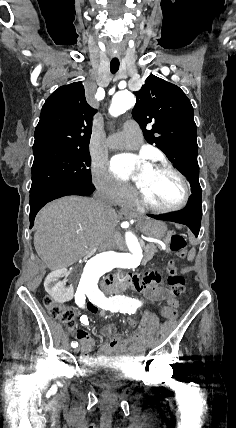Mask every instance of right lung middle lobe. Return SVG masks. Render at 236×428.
<instances>
[{"mask_svg":"<svg viewBox=\"0 0 236 428\" xmlns=\"http://www.w3.org/2000/svg\"><path fill=\"white\" fill-rule=\"evenodd\" d=\"M30 193L63 184H91L89 148H42L33 150Z\"/></svg>","mask_w":236,"mask_h":428,"instance_id":"1","label":"right lung middle lobe"}]
</instances>
